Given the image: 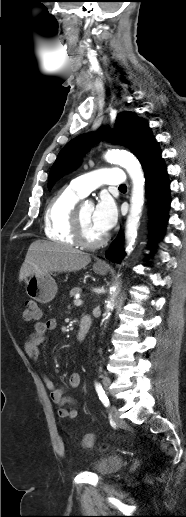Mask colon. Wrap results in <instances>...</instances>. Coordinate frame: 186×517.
<instances>
[{
  "label": "colon",
  "instance_id": "1",
  "mask_svg": "<svg viewBox=\"0 0 186 517\" xmlns=\"http://www.w3.org/2000/svg\"><path fill=\"white\" fill-rule=\"evenodd\" d=\"M23 317L25 320H28V321L37 320L40 318L39 307L35 301L29 300L25 303V310H24ZM93 439H94L93 434L85 435L81 441V446L85 447V448L89 447L90 445H92Z\"/></svg>",
  "mask_w": 186,
  "mask_h": 517
}]
</instances>
